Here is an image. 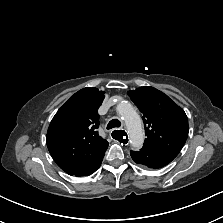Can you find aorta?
I'll return each instance as SVG.
<instances>
[{"instance_id":"obj_1","label":"aorta","mask_w":223,"mask_h":223,"mask_svg":"<svg viewBox=\"0 0 223 223\" xmlns=\"http://www.w3.org/2000/svg\"><path fill=\"white\" fill-rule=\"evenodd\" d=\"M117 112L126 124L131 146L135 150L140 149L144 142V133L140 116L133 106L125 101L117 105Z\"/></svg>"}]
</instances>
